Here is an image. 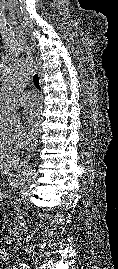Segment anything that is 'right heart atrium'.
<instances>
[{
	"mask_svg": "<svg viewBox=\"0 0 118 269\" xmlns=\"http://www.w3.org/2000/svg\"><path fill=\"white\" fill-rule=\"evenodd\" d=\"M31 138L19 120L4 121L0 117V146L5 144L15 148L23 147Z\"/></svg>",
	"mask_w": 118,
	"mask_h": 269,
	"instance_id": "d8ad5b80",
	"label": "right heart atrium"
}]
</instances>
